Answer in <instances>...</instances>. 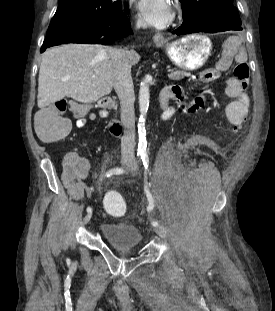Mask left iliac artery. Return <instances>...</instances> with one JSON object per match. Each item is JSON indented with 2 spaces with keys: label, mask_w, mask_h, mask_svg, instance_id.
<instances>
[{
  "label": "left iliac artery",
  "mask_w": 275,
  "mask_h": 311,
  "mask_svg": "<svg viewBox=\"0 0 275 311\" xmlns=\"http://www.w3.org/2000/svg\"><path fill=\"white\" fill-rule=\"evenodd\" d=\"M142 161H143V165L145 167V187H144V191L146 193V196L148 198L149 201V205L147 210L148 211H152L154 208V199L152 197V194L150 193L148 186H147V181H146V175H147V170H148V165H149V157L147 153L142 154ZM153 226H158L159 223L157 221H152L151 223Z\"/></svg>",
  "instance_id": "1"
}]
</instances>
